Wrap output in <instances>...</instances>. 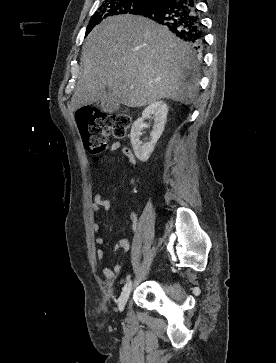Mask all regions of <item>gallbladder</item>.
<instances>
[{"label": "gallbladder", "instance_id": "1", "mask_svg": "<svg viewBox=\"0 0 276 363\" xmlns=\"http://www.w3.org/2000/svg\"><path fill=\"white\" fill-rule=\"evenodd\" d=\"M102 111L112 113L120 109V104L113 96L112 92L107 89L104 96L98 101Z\"/></svg>", "mask_w": 276, "mask_h": 363}]
</instances>
